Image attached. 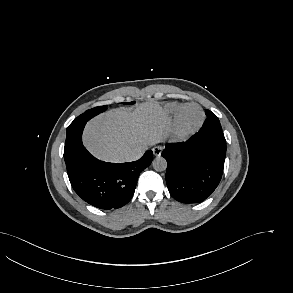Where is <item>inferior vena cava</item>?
<instances>
[{
    "instance_id": "1",
    "label": "inferior vena cava",
    "mask_w": 293,
    "mask_h": 293,
    "mask_svg": "<svg viewBox=\"0 0 293 293\" xmlns=\"http://www.w3.org/2000/svg\"><path fill=\"white\" fill-rule=\"evenodd\" d=\"M143 151L142 150H137V151H131L129 153L126 154V160L127 161H135L138 160L139 158H141V156L143 155Z\"/></svg>"
}]
</instances>
